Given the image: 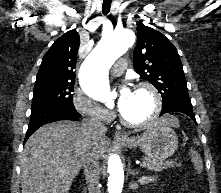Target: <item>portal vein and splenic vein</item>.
Instances as JSON below:
<instances>
[{"label": "portal vein and splenic vein", "instance_id": "18ae733b", "mask_svg": "<svg viewBox=\"0 0 221 193\" xmlns=\"http://www.w3.org/2000/svg\"><path fill=\"white\" fill-rule=\"evenodd\" d=\"M140 166H141V167H145V166H146V163H145V162H142V163L140 164Z\"/></svg>", "mask_w": 221, "mask_h": 193}]
</instances>
